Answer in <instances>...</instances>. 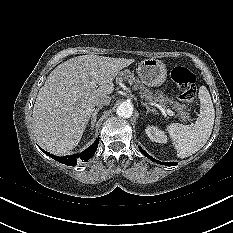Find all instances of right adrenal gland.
Masks as SVG:
<instances>
[{
	"label": "right adrenal gland",
	"mask_w": 233,
	"mask_h": 233,
	"mask_svg": "<svg viewBox=\"0 0 233 233\" xmlns=\"http://www.w3.org/2000/svg\"><path fill=\"white\" fill-rule=\"evenodd\" d=\"M102 109V106L98 107L97 109L94 110V112L92 113L90 119H91V122H90V125L91 127H94L95 125V122L97 120V114L98 112Z\"/></svg>",
	"instance_id": "2a0ac1e0"
}]
</instances>
